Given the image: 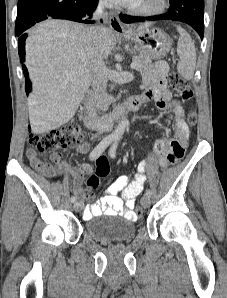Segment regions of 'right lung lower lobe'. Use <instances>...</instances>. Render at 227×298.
Masks as SVG:
<instances>
[{
  "label": "right lung lower lobe",
  "instance_id": "right-lung-lower-lobe-1",
  "mask_svg": "<svg viewBox=\"0 0 227 298\" xmlns=\"http://www.w3.org/2000/svg\"><path fill=\"white\" fill-rule=\"evenodd\" d=\"M97 4L98 0H18L15 36L19 37L18 51L21 61L25 60V39L27 36L24 34L25 30L35 23L51 17L81 23H94L90 17H92ZM23 71L28 80V72L25 67H23Z\"/></svg>",
  "mask_w": 227,
  "mask_h": 298
}]
</instances>
